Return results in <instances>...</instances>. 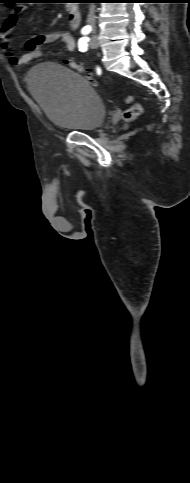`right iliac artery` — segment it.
<instances>
[{
	"mask_svg": "<svg viewBox=\"0 0 190 483\" xmlns=\"http://www.w3.org/2000/svg\"><path fill=\"white\" fill-rule=\"evenodd\" d=\"M90 31H91V27L85 26V27L82 28L81 33L83 35H86V34L90 33Z\"/></svg>",
	"mask_w": 190,
	"mask_h": 483,
	"instance_id": "1",
	"label": "right iliac artery"
}]
</instances>
